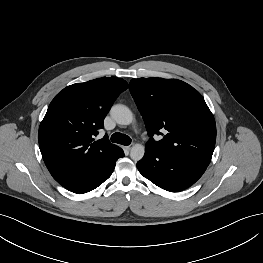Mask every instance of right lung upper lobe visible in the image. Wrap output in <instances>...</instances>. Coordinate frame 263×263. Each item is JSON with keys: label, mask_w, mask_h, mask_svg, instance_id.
<instances>
[{"label": "right lung upper lobe", "mask_w": 263, "mask_h": 263, "mask_svg": "<svg viewBox=\"0 0 263 263\" xmlns=\"http://www.w3.org/2000/svg\"><path fill=\"white\" fill-rule=\"evenodd\" d=\"M128 84L99 78L60 91L50 103L38 132L39 147L53 178L62 186L82 177L120 148L105 136L95 141L118 95Z\"/></svg>", "instance_id": "right-lung-upper-lobe-1"}]
</instances>
